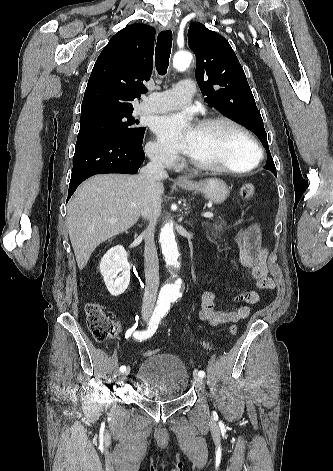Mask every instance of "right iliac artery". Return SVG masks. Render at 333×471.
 <instances>
[{"label":"right iliac artery","instance_id":"82829eb1","mask_svg":"<svg viewBox=\"0 0 333 471\" xmlns=\"http://www.w3.org/2000/svg\"><path fill=\"white\" fill-rule=\"evenodd\" d=\"M161 318H162V314L160 312H154L149 321L148 328L144 331H135L133 333V337L140 341L151 337L156 332ZM125 370H126V366L122 365L120 367V371L124 372Z\"/></svg>","mask_w":333,"mask_h":471}]
</instances>
